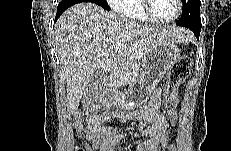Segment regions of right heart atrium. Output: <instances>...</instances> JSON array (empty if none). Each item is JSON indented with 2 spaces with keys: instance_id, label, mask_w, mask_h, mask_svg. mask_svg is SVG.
<instances>
[{
  "instance_id": "obj_1",
  "label": "right heart atrium",
  "mask_w": 231,
  "mask_h": 151,
  "mask_svg": "<svg viewBox=\"0 0 231 151\" xmlns=\"http://www.w3.org/2000/svg\"><path fill=\"white\" fill-rule=\"evenodd\" d=\"M120 2V0H109L108 3L114 8L116 9L117 4Z\"/></svg>"
}]
</instances>
